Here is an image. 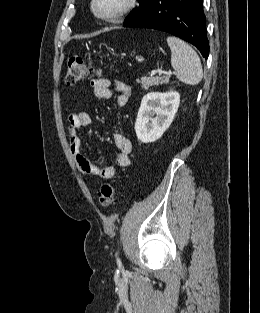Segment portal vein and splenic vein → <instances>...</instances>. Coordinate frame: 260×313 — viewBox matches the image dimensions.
<instances>
[{"label":"portal vein and splenic vein","instance_id":"1","mask_svg":"<svg viewBox=\"0 0 260 313\" xmlns=\"http://www.w3.org/2000/svg\"><path fill=\"white\" fill-rule=\"evenodd\" d=\"M159 74V75H161L162 73H165V74H167V75H172V74H175L174 72H172V71H168V72H165V71H163V70H161V69H158V70H152V72H151V76H153V75H155V74Z\"/></svg>","mask_w":260,"mask_h":313}]
</instances>
